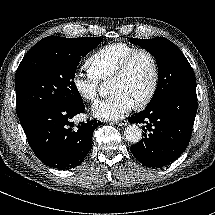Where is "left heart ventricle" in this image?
Returning a JSON list of instances; mask_svg holds the SVG:
<instances>
[{"instance_id": "obj_1", "label": "left heart ventricle", "mask_w": 215, "mask_h": 215, "mask_svg": "<svg viewBox=\"0 0 215 215\" xmlns=\"http://www.w3.org/2000/svg\"><path fill=\"white\" fill-rule=\"evenodd\" d=\"M151 77L150 60L145 55H138L122 77L109 80V93H123L135 105L143 99L148 91Z\"/></svg>"}]
</instances>
